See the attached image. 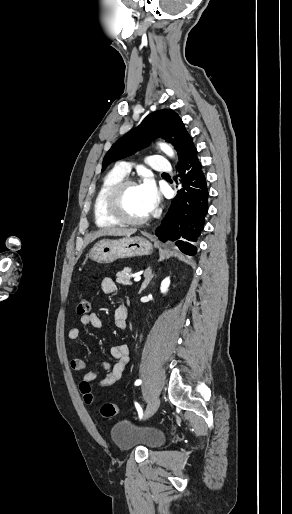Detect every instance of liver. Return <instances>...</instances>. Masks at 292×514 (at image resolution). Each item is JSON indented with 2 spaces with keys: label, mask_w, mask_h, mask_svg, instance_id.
<instances>
[{
  "label": "liver",
  "mask_w": 292,
  "mask_h": 514,
  "mask_svg": "<svg viewBox=\"0 0 292 514\" xmlns=\"http://www.w3.org/2000/svg\"><path fill=\"white\" fill-rule=\"evenodd\" d=\"M137 230L135 228H130V230H127V228H115V226H111V228H102V230H98V232H95V234H90V238L93 242V240H96V238H100V236H132V234H135Z\"/></svg>",
  "instance_id": "obj_1"
}]
</instances>
